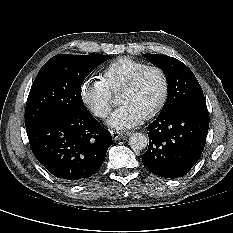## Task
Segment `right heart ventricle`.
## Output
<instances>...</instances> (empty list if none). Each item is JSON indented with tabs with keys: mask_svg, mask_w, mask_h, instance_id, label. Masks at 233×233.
Listing matches in <instances>:
<instances>
[{
	"mask_svg": "<svg viewBox=\"0 0 233 233\" xmlns=\"http://www.w3.org/2000/svg\"><path fill=\"white\" fill-rule=\"evenodd\" d=\"M147 63L130 57H120L108 64L101 72V80L111 93L121 90L128 79Z\"/></svg>",
	"mask_w": 233,
	"mask_h": 233,
	"instance_id": "right-heart-ventricle-1",
	"label": "right heart ventricle"
}]
</instances>
